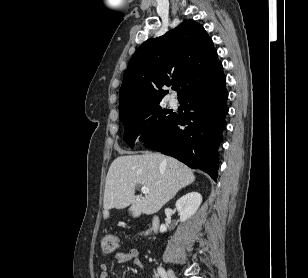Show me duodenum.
<instances>
[{"mask_svg": "<svg viewBox=\"0 0 308 278\" xmlns=\"http://www.w3.org/2000/svg\"><path fill=\"white\" fill-rule=\"evenodd\" d=\"M159 225H160L159 217L157 215H153L152 220H151V229L154 232H157Z\"/></svg>", "mask_w": 308, "mask_h": 278, "instance_id": "obj_1", "label": "duodenum"}]
</instances>
